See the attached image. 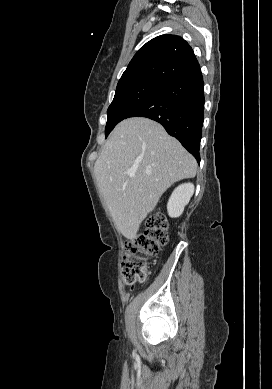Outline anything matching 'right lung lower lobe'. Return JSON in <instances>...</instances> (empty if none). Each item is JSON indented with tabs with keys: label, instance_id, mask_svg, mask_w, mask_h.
Wrapping results in <instances>:
<instances>
[{
	"label": "right lung lower lobe",
	"instance_id": "98d812e1",
	"mask_svg": "<svg viewBox=\"0 0 272 389\" xmlns=\"http://www.w3.org/2000/svg\"><path fill=\"white\" fill-rule=\"evenodd\" d=\"M204 83L200 68L169 82L134 107L125 117H147L159 122L200 162Z\"/></svg>",
	"mask_w": 272,
	"mask_h": 389
}]
</instances>
